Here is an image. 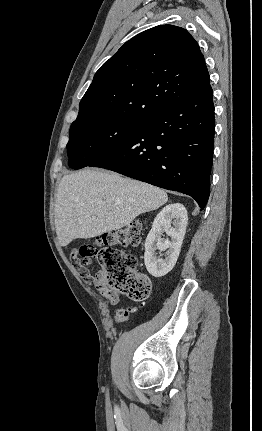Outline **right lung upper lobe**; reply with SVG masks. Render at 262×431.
I'll return each mask as SVG.
<instances>
[{"instance_id":"cb5924a9","label":"right lung upper lobe","mask_w":262,"mask_h":431,"mask_svg":"<svg viewBox=\"0 0 262 431\" xmlns=\"http://www.w3.org/2000/svg\"><path fill=\"white\" fill-rule=\"evenodd\" d=\"M209 82L195 39L181 27L156 26L127 41L101 66L72 125L144 119L198 95Z\"/></svg>"}]
</instances>
